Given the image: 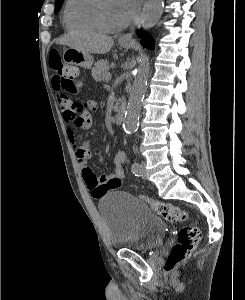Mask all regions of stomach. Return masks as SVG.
<instances>
[{"label": "stomach", "mask_w": 245, "mask_h": 300, "mask_svg": "<svg viewBox=\"0 0 245 300\" xmlns=\"http://www.w3.org/2000/svg\"><path fill=\"white\" fill-rule=\"evenodd\" d=\"M124 48H129L131 43H120ZM63 60L77 67H83L85 69L91 68L93 64V57L86 52L79 51L75 48H66L63 52Z\"/></svg>", "instance_id": "stomach-1"}]
</instances>
